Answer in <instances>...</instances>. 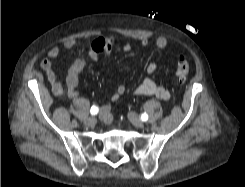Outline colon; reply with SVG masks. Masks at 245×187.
I'll return each mask as SVG.
<instances>
[{
  "label": "colon",
  "instance_id": "obj_1",
  "mask_svg": "<svg viewBox=\"0 0 245 187\" xmlns=\"http://www.w3.org/2000/svg\"><path fill=\"white\" fill-rule=\"evenodd\" d=\"M189 74V64L184 56L179 55L175 75L180 82H184Z\"/></svg>",
  "mask_w": 245,
  "mask_h": 187
}]
</instances>
